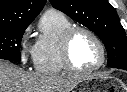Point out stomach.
Returning a JSON list of instances; mask_svg holds the SVG:
<instances>
[{"instance_id":"obj_1","label":"stomach","mask_w":127,"mask_h":92,"mask_svg":"<svg viewBox=\"0 0 127 92\" xmlns=\"http://www.w3.org/2000/svg\"><path fill=\"white\" fill-rule=\"evenodd\" d=\"M106 79L100 75H90L83 78L77 86L78 92H106Z\"/></svg>"}]
</instances>
